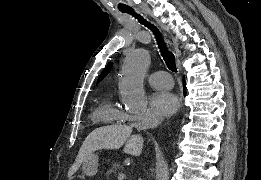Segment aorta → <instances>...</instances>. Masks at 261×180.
Returning <instances> with one entry per match:
<instances>
[{
  "instance_id": "aorta-1",
  "label": "aorta",
  "mask_w": 261,
  "mask_h": 180,
  "mask_svg": "<svg viewBox=\"0 0 261 180\" xmlns=\"http://www.w3.org/2000/svg\"><path fill=\"white\" fill-rule=\"evenodd\" d=\"M149 65L150 54L143 48L130 50L126 54L119 91L123 104L131 111L146 109L143 81Z\"/></svg>"
}]
</instances>
